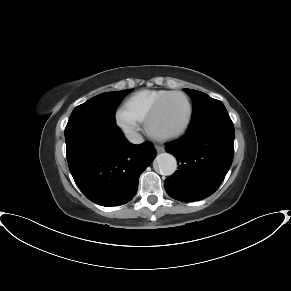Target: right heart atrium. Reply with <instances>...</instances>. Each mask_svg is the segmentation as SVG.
Returning a JSON list of instances; mask_svg holds the SVG:
<instances>
[{
    "instance_id": "d8ad5b80",
    "label": "right heart atrium",
    "mask_w": 291,
    "mask_h": 291,
    "mask_svg": "<svg viewBox=\"0 0 291 291\" xmlns=\"http://www.w3.org/2000/svg\"><path fill=\"white\" fill-rule=\"evenodd\" d=\"M115 121L117 126L126 134L130 135L134 133L139 125V120L124 107L117 110L115 115Z\"/></svg>"
}]
</instances>
